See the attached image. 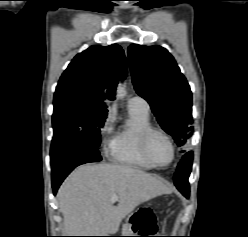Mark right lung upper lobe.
Masks as SVG:
<instances>
[{
    "mask_svg": "<svg viewBox=\"0 0 248 237\" xmlns=\"http://www.w3.org/2000/svg\"><path fill=\"white\" fill-rule=\"evenodd\" d=\"M126 73V57L119 45L91 46L75 56L62 74L54 103L73 102L107 113L104 100H114L116 85Z\"/></svg>",
    "mask_w": 248,
    "mask_h": 237,
    "instance_id": "1",
    "label": "right lung upper lobe"
}]
</instances>
